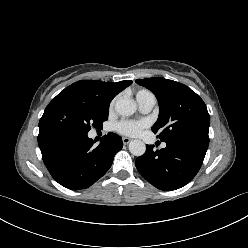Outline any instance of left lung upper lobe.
<instances>
[{"label":"left lung upper lobe","instance_id":"left-lung-upper-lobe-1","mask_svg":"<svg viewBox=\"0 0 248 248\" xmlns=\"http://www.w3.org/2000/svg\"><path fill=\"white\" fill-rule=\"evenodd\" d=\"M157 97L160 112L152 131L161 141L179 137H208L210 116L203 100L186 85L161 77L138 79Z\"/></svg>","mask_w":248,"mask_h":248}]
</instances>
